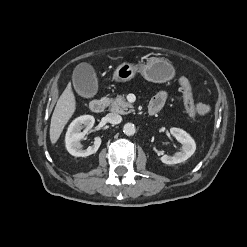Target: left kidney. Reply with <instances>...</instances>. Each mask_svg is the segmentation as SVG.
Masks as SVG:
<instances>
[{"label":"left kidney","mask_w":247,"mask_h":247,"mask_svg":"<svg viewBox=\"0 0 247 247\" xmlns=\"http://www.w3.org/2000/svg\"><path fill=\"white\" fill-rule=\"evenodd\" d=\"M170 133L181 143V150L173 155H163L160 160L169 165L186 161L196 150L194 139L186 131L180 128H170Z\"/></svg>","instance_id":"1"}]
</instances>
